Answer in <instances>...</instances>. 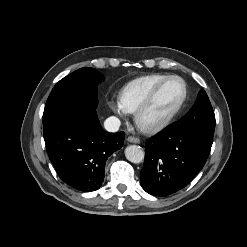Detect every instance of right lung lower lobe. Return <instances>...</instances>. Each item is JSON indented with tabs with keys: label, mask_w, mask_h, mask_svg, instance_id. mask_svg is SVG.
<instances>
[{
	"label": "right lung lower lobe",
	"mask_w": 247,
	"mask_h": 247,
	"mask_svg": "<svg viewBox=\"0 0 247 247\" xmlns=\"http://www.w3.org/2000/svg\"><path fill=\"white\" fill-rule=\"evenodd\" d=\"M124 135L103 130L95 109L44 126L46 149L58 175L68 185L87 192L99 189L106 160L123 146Z\"/></svg>",
	"instance_id": "98d812e1"
}]
</instances>
